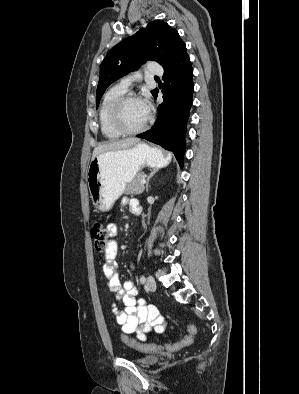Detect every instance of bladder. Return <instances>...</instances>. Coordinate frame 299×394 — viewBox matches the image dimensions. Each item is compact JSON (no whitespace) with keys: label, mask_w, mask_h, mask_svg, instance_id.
<instances>
[{"label":"bladder","mask_w":299,"mask_h":394,"mask_svg":"<svg viewBox=\"0 0 299 394\" xmlns=\"http://www.w3.org/2000/svg\"><path fill=\"white\" fill-rule=\"evenodd\" d=\"M159 357L156 355H140L135 357L134 362L141 366H152L156 364Z\"/></svg>","instance_id":"obj_1"}]
</instances>
